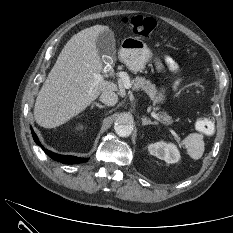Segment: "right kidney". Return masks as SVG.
<instances>
[{"label": "right kidney", "instance_id": "right-kidney-1", "mask_svg": "<svg viewBox=\"0 0 233 233\" xmlns=\"http://www.w3.org/2000/svg\"><path fill=\"white\" fill-rule=\"evenodd\" d=\"M83 128H84L83 125H78V126H77V129H78V130H82Z\"/></svg>", "mask_w": 233, "mask_h": 233}]
</instances>
